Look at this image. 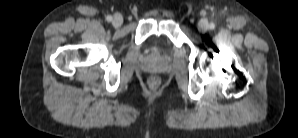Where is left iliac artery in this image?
Returning a JSON list of instances; mask_svg holds the SVG:
<instances>
[{
    "label": "left iliac artery",
    "mask_w": 298,
    "mask_h": 138,
    "mask_svg": "<svg viewBox=\"0 0 298 138\" xmlns=\"http://www.w3.org/2000/svg\"><path fill=\"white\" fill-rule=\"evenodd\" d=\"M215 27H216V25H215L214 23H210V24L208 25V28H209L210 30H214Z\"/></svg>",
    "instance_id": "left-iliac-artery-1"
}]
</instances>
